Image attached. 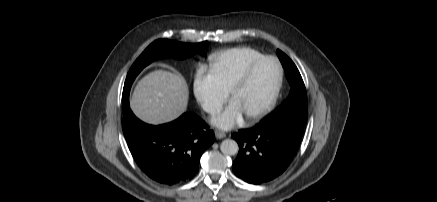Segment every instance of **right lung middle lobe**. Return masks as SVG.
<instances>
[{
  "label": "right lung middle lobe",
  "mask_w": 437,
  "mask_h": 202,
  "mask_svg": "<svg viewBox=\"0 0 437 202\" xmlns=\"http://www.w3.org/2000/svg\"><path fill=\"white\" fill-rule=\"evenodd\" d=\"M206 44L207 41L197 44H187L167 39L154 41L145 49L130 68L123 88L122 104L125 105L129 102V92L135 77L152 61L166 57L185 59L202 50Z\"/></svg>",
  "instance_id": "obj_1"
}]
</instances>
